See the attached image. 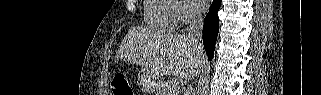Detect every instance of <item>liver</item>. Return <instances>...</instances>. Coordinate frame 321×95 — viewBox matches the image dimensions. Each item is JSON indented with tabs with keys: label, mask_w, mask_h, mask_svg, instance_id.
I'll list each match as a JSON object with an SVG mask.
<instances>
[{
	"label": "liver",
	"mask_w": 321,
	"mask_h": 95,
	"mask_svg": "<svg viewBox=\"0 0 321 95\" xmlns=\"http://www.w3.org/2000/svg\"><path fill=\"white\" fill-rule=\"evenodd\" d=\"M117 58L135 63L155 78L165 74L190 79L206 63L204 50H198L185 34H160L134 27L126 34Z\"/></svg>",
	"instance_id": "obj_1"
}]
</instances>
